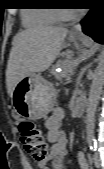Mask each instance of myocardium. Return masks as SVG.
<instances>
[{"instance_id": "myocardium-1", "label": "myocardium", "mask_w": 104, "mask_h": 169, "mask_svg": "<svg viewBox=\"0 0 104 169\" xmlns=\"http://www.w3.org/2000/svg\"><path fill=\"white\" fill-rule=\"evenodd\" d=\"M54 13H55L56 17L58 18V20H61V21L72 20L77 15L76 12L67 13L63 9H54Z\"/></svg>"}]
</instances>
